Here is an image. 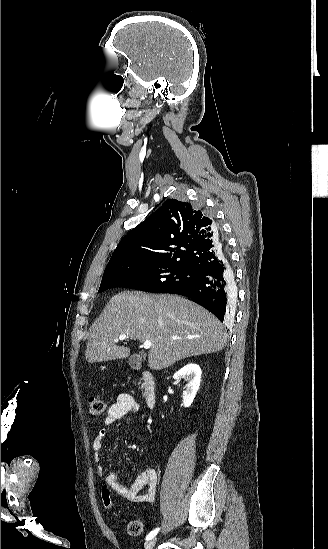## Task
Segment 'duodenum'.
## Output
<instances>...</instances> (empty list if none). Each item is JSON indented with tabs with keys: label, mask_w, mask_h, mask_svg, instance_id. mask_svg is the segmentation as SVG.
Instances as JSON below:
<instances>
[{
	"label": "duodenum",
	"mask_w": 328,
	"mask_h": 549,
	"mask_svg": "<svg viewBox=\"0 0 328 549\" xmlns=\"http://www.w3.org/2000/svg\"><path fill=\"white\" fill-rule=\"evenodd\" d=\"M144 388V397L149 408H155L157 404L156 384L153 375L148 371H141Z\"/></svg>",
	"instance_id": "obj_1"
}]
</instances>
